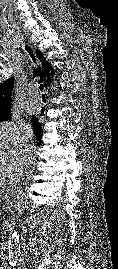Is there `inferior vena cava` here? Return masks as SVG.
Wrapping results in <instances>:
<instances>
[{"instance_id":"inferior-vena-cava-1","label":"inferior vena cava","mask_w":118,"mask_h":269,"mask_svg":"<svg viewBox=\"0 0 118 269\" xmlns=\"http://www.w3.org/2000/svg\"><path fill=\"white\" fill-rule=\"evenodd\" d=\"M34 162V157L32 154V146H28L25 150V155L22 161V165L20 168V171L18 173V177L22 178L24 176V174L30 169V167L32 166Z\"/></svg>"}]
</instances>
